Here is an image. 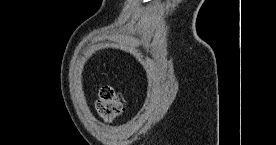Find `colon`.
I'll return each instance as SVG.
<instances>
[{"mask_svg": "<svg viewBox=\"0 0 276 145\" xmlns=\"http://www.w3.org/2000/svg\"><path fill=\"white\" fill-rule=\"evenodd\" d=\"M124 103L112 86H103L99 91L96 108L106 121H114L123 111Z\"/></svg>", "mask_w": 276, "mask_h": 145, "instance_id": "5ec220e1", "label": "colon"}]
</instances>
